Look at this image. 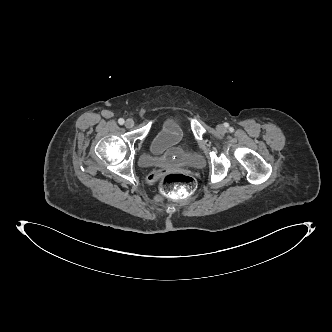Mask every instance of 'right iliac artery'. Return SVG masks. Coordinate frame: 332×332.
Segmentation results:
<instances>
[{"label":"right iliac artery","instance_id":"right-iliac-artery-1","mask_svg":"<svg viewBox=\"0 0 332 332\" xmlns=\"http://www.w3.org/2000/svg\"><path fill=\"white\" fill-rule=\"evenodd\" d=\"M124 119L123 118H120L119 120H118V123L120 124V125H123L124 124Z\"/></svg>","mask_w":332,"mask_h":332}]
</instances>
